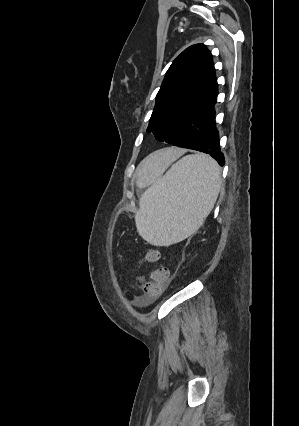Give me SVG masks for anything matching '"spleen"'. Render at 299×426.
<instances>
[{
    "label": "spleen",
    "instance_id": "obj_1",
    "mask_svg": "<svg viewBox=\"0 0 299 426\" xmlns=\"http://www.w3.org/2000/svg\"><path fill=\"white\" fill-rule=\"evenodd\" d=\"M221 171L211 157L187 155L141 195L135 222L151 245L169 246L196 232L214 207Z\"/></svg>",
    "mask_w": 299,
    "mask_h": 426
}]
</instances>
